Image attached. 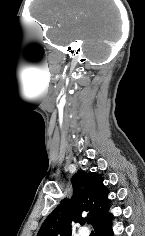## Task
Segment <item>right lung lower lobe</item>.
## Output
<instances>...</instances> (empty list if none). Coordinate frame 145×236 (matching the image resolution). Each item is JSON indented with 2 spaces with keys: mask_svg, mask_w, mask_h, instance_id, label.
Returning a JSON list of instances; mask_svg holds the SVG:
<instances>
[{
  "mask_svg": "<svg viewBox=\"0 0 145 236\" xmlns=\"http://www.w3.org/2000/svg\"><path fill=\"white\" fill-rule=\"evenodd\" d=\"M112 217V214H108L94 226L96 236H113Z\"/></svg>",
  "mask_w": 145,
  "mask_h": 236,
  "instance_id": "obj_1",
  "label": "right lung lower lobe"
}]
</instances>
